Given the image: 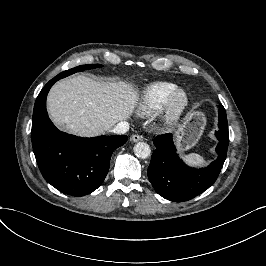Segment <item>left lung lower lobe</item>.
<instances>
[{
  "instance_id": "1",
  "label": "left lung lower lobe",
  "mask_w": 266,
  "mask_h": 266,
  "mask_svg": "<svg viewBox=\"0 0 266 266\" xmlns=\"http://www.w3.org/2000/svg\"><path fill=\"white\" fill-rule=\"evenodd\" d=\"M223 110L219 112V130L215 132L219 140L216 147L218 158L206 168L187 166L176 153L170 133L154 139L156 149L148 167V178L159 195L174 202L188 201L203 193L216 181L229 144L227 117L225 109Z\"/></svg>"
}]
</instances>
